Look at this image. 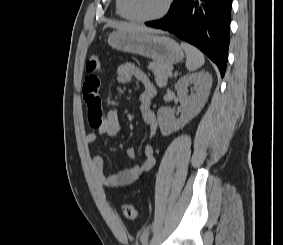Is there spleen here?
Returning <instances> with one entry per match:
<instances>
[{"label":"spleen","mask_w":283,"mask_h":245,"mask_svg":"<svg viewBox=\"0 0 283 245\" xmlns=\"http://www.w3.org/2000/svg\"><path fill=\"white\" fill-rule=\"evenodd\" d=\"M181 46L187 56L186 68L189 71H195L204 64V55L196 47L186 42H182Z\"/></svg>","instance_id":"1"}]
</instances>
